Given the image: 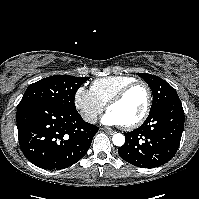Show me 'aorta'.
I'll list each match as a JSON object with an SVG mask.
<instances>
[{
	"mask_svg": "<svg viewBox=\"0 0 199 199\" xmlns=\"http://www.w3.org/2000/svg\"><path fill=\"white\" fill-rule=\"evenodd\" d=\"M113 144L115 146H123L125 143V136L123 134L117 133L112 137Z\"/></svg>",
	"mask_w": 199,
	"mask_h": 199,
	"instance_id": "aorta-1",
	"label": "aorta"
}]
</instances>
